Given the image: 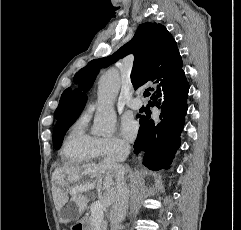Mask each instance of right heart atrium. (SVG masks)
<instances>
[{
	"mask_svg": "<svg viewBox=\"0 0 241 230\" xmlns=\"http://www.w3.org/2000/svg\"><path fill=\"white\" fill-rule=\"evenodd\" d=\"M100 156L115 157L127 153L129 145L122 138L113 136L110 138H100L98 140Z\"/></svg>",
	"mask_w": 241,
	"mask_h": 230,
	"instance_id": "1",
	"label": "right heart atrium"
}]
</instances>
